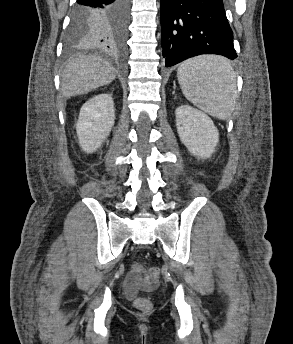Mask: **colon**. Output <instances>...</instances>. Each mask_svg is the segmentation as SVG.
Segmentation results:
<instances>
[{"label": "colon", "instance_id": "colon-1", "mask_svg": "<svg viewBox=\"0 0 293 344\" xmlns=\"http://www.w3.org/2000/svg\"><path fill=\"white\" fill-rule=\"evenodd\" d=\"M141 273V267L137 264L132 266L131 269V277L133 279L138 278V276ZM160 276V270L157 267H152L149 271V277L152 281H157L158 278ZM134 306L136 309L140 310V311H149L152 307L151 302L144 297H138L135 301H134Z\"/></svg>", "mask_w": 293, "mask_h": 344}]
</instances>
